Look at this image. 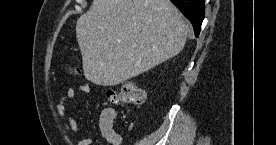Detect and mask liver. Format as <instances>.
I'll list each match as a JSON object with an SVG mask.
<instances>
[{"label":"liver","mask_w":276,"mask_h":145,"mask_svg":"<svg viewBox=\"0 0 276 145\" xmlns=\"http://www.w3.org/2000/svg\"><path fill=\"white\" fill-rule=\"evenodd\" d=\"M187 32L170 0H94L76 23L84 76L118 85L178 55Z\"/></svg>","instance_id":"6515ba94"}]
</instances>
